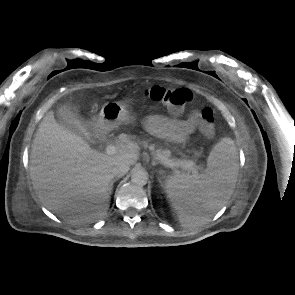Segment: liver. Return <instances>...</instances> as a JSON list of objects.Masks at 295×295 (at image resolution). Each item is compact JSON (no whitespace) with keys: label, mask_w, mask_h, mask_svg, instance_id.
Returning a JSON list of instances; mask_svg holds the SVG:
<instances>
[{"label":"liver","mask_w":295,"mask_h":295,"mask_svg":"<svg viewBox=\"0 0 295 295\" xmlns=\"http://www.w3.org/2000/svg\"><path fill=\"white\" fill-rule=\"evenodd\" d=\"M137 160V145L128 143L112 156L99 153L59 125L49 111L33 141L30 175L46 208L70 221L93 220L109 208L114 164L133 165Z\"/></svg>","instance_id":"6515ba94"}]
</instances>
